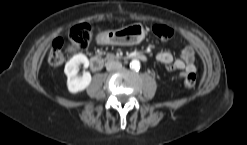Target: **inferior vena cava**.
I'll use <instances>...</instances> for the list:
<instances>
[{
  "instance_id": "obj_1",
  "label": "inferior vena cava",
  "mask_w": 247,
  "mask_h": 145,
  "mask_svg": "<svg viewBox=\"0 0 247 145\" xmlns=\"http://www.w3.org/2000/svg\"><path fill=\"white\" fill-rule=\"evenodd\" d=\"M122 68V64L119 61H110L106 63V69L108 71L119 70Z\"/></svg>"
}]
</instances>
